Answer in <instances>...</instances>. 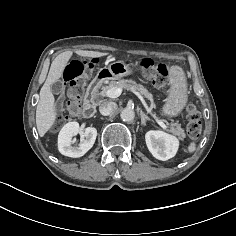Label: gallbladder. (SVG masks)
Segmentation results:
<instances>
[{
    "label": "gallbladder",
    "mask_w": 236,
    "mask_h": 236,
    "mask_svg": "<svg viewBox=\"0 0 236 236\" xmlns=\"http://www.w3.org/2000/svg\"><path fill=\"white\" fill-rule=\"evenodd\" d=\"M63 88H64V85H63V82L61 80H57L56 82H54L50 86V89H51L52 93H54V94L61 93Z\"/></svg>",
    "instance_id": "obj_1"
}]
</instances>
